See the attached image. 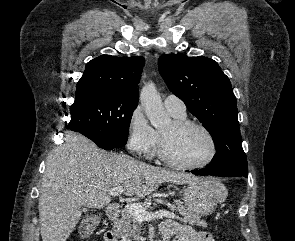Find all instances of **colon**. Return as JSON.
<instances>
[{
  "mask_svg": "<svg viewBox=\"0 0 295 241\" xmlns=\"http://www.w3.org/2000/svg\"><path fill=\"white\" fill-rule=\"evenodd\" d=\"M98 225L96 217L86 218L81 225V236L83 239H88L95 231Z\"/></svg>",
  "mask_w": 295,
  "mask_h": 241,
  "instance_id": "colon-1",
  "label": "colon"
}]
</instances>
